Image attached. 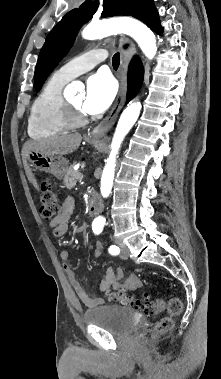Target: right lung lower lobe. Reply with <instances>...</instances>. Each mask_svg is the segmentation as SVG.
<instances>
[{
    "label": "right lung lower lobe",
    "mask_w": 221,
    "mask_h": 379,
    "mask_svg": "<svg viewBox=\"0 0 221 379\" xmlns=\"http://www.w3.org/2000/svg\"><path fill=\"white\" fill-rule=\"evenodd\" d=\"M144 70L140 59L135 56L130 63L128 72L127 98H133L139 91L143 81Z\"/></svg>",
    "instance_id": "right-lung-lower-lobe-1"
}]
</instances>
